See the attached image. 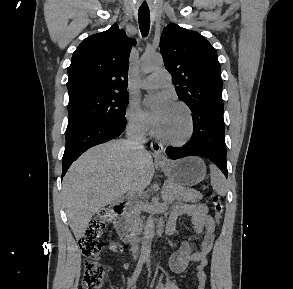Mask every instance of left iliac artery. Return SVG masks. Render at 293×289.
<instances>
[{
    "label": "left iliac artery",
    "instance_id": "44dca946",
    "mask_svg": "<svg viewBox=\"0 0 293 289\" xmlns=\"http://www.w3.org/2000/svg\"><path fill=\"white\" fill-rule=\"evenodd\" d=\"M147 266H148V271H149V276L151 275V270H150V261L147 260ZM156 289H160L158 286H156Z\"/></svg>",
    "mask_w": 293,
    "mask_h": 289
}]
</instances>
